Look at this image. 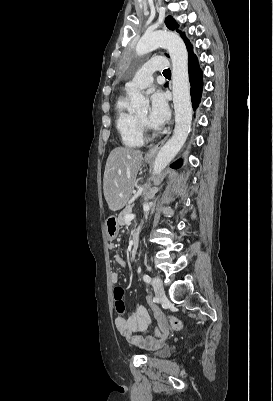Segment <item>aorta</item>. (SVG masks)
<instances>
[{"instance_id":"762f6f07","label":"aorta","mask_w":273,"mask_h":401,"mask_svg":"<svg viewBox=\"0 0 273 401\" xmlns=\"http://www.w3.org/2000/svg\"><path fill=\"white\" fill-rule=\"evenodd\" d=\"M158 47L169 52L172 62V91L175 110V128L172 137L158 152L154 165L153 177L159 175L174 159L183 147L191 130L192 106L188 73V54L183 40L175 33L156 31L146 33L136 46L138 55L149 53ZM132 107L136 112L147 111L149 101L140 92L131 96Z\"/></svg>"}]
</instances>
